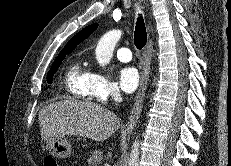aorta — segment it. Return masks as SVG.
<instances>
[{
    "label": "aorta",
    "instance_id": "1",
    "mask_svg": "<svg viewBox=\"0 0 231 166\" xmlns=\"http://www.w3.org/2000/svg\"><path fill=\"white\" fill-rule=\"evenodd\" d=\"M122 32L112 30L106 33L98 42L96 47V60L101 66L107 65L113 55L114 48L120 40ZM139 140H135L132 145L128 166H139Z\"/></svg>",
    "mask_w": 231,
    "mask_h": 166
}]
</instances>
